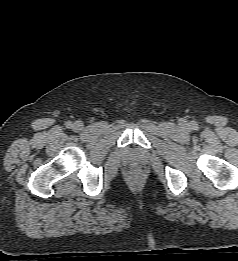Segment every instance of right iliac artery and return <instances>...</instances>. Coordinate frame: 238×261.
Returning a JSON list of instances; mask_svg holds the SVG:
<instances>
[{
	"instance_id": "82829eb1",
	"label": "right iliac artery",
	"mask_w": 238,
	"mask_h": 261,
	"mask_svg": "<svg viewBox=\"0 0 238 261\" xmlns=\"http://www.w3.org/2000/svg\"><path fill=\"white\" fill-rule=\"evenodd\" d=\"M65 125H66L67 128H72V126H73L71 121L66 122Z\"/></svg>"
}]
</instances>
